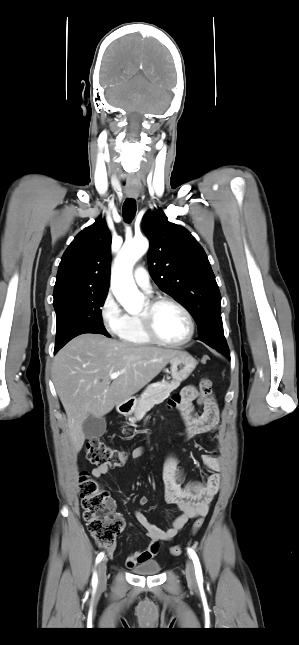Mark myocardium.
Returning <instances> with one entry per match:
<instances>
[{
  "label": "myocardium",
  "mask_w": 299,
  "mask_h": 645,
  "mask_svg": "<svg viewBox=\"0 0 299 645\" xmlns=\"http://www.w3.org/2000/svg\"><path fill=\"white\" fill-rule=\"evenodd\" d=\"M162 304H170L175 307H177L186 317L189 330L187 335L178 341H170L163 339L160 337L154 327V312L157 307H159ZM139 319L141 321L142 327L146 335L154 342L157 344L165 345V346H171V347H177V346H182L186 343H188L194 336L195 333V321L194 318L191 314V312L188 310L187 307H185L181 302L178 300L168 297V296H158L154 297L151 299H148L145 303V308L144 310L138 315Z\"/></svg>",
  "instance_id": "obj_1"
}]
</instances>
